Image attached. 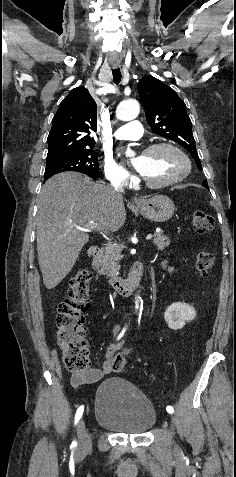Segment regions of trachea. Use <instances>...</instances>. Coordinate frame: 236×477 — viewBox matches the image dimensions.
I'll list each match as a JSON object with an SVG mask.
<instances>
[{"mask_svg": "<svg viewBox=\"0 0 236 477\" xmlns=\"http://www.w3.org/2000/svg\"><path fill=\"white\" fill-rule=\"evenodd\" d=\"M112 74H113V81L115 84H119L120 81H121V72H120V69L117 68V69H114L112 70Z\"/></svg>", "mask_w": 236, "mask_h": 477, "instance_id": "1", "label": "trachea"}]
</instances>
